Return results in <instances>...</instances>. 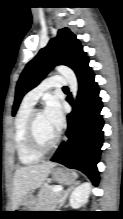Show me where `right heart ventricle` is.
<instances>
[{"label": "right heart ventricle", "instance_id": "obj_1", "mask_svg": "<svg viewBox=\"0 0 123 219\" xmlns=\"http://www.w3.org/2000/svg\"><path fill=\"white\" fill-rule=\"evenodd\" d=\"M32 111L33 105L22 102L14 122V145L23 165L35 164L41 158L30 149L27 141V124Z\"/></svg>", "mask_w": 123, "mask_h": 219}]
</instances>
